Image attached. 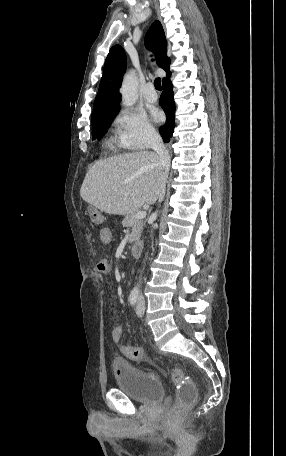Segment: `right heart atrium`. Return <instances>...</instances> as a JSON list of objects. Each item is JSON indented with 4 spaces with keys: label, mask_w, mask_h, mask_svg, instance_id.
<instances>
[{
    "label": "right heart atrium",
    "mask_w": 286,
    "mask_h": 456,
    "mask_svg": "<svg viewBox=\"0 0 286 456\" xmlns=\"http://www.w3.org/2000/svg\"><path fill=\"white\" fill-rule=\"evenodd\" d=\"M118 143L128 149H146L157 140V132L147 117L129 108L121 109L113 121Z\"/></svg>",
    "instance_id": "1"
}]
</instances>
